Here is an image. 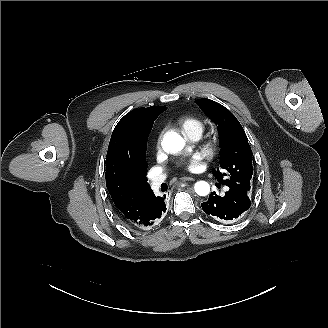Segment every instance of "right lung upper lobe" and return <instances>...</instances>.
I'll list each match as a JSON object with an SVG mask.
<instances>
[{
    "instance_id": "obj_1",
    "label": "right lung upper lobe",
    "mask_w": 328,
    "mask_h": 328,
    "mask_svg": "<svg viewBox=\"0 0 328 328\" xmlns=\"http://www.w3.org/2000/svg\"><path fill=\"white\" fill-rule=\"evenodd\" d=\"M167 107L139 108L126 114L112 133L106 159V186L120 218L136 223L154 193L136 164L128 146L131 126L146 115L159 116Z\"/></svg>"
}]
</instances>
